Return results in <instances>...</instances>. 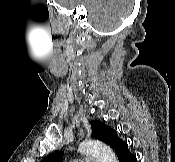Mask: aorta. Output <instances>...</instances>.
I'll list each match as a JSON object with an SVG mask.
<instances>
[{"mask_svg":"<svg viewBox=\"0 0 175 162\" xmlns=\"http://www.w3.org/2000/svg\"><path fill=\"white\" fill-rule=\"evenodd\" d=\"M79 151L82 154L95 157L99 162H118L114 151L98 140L84 141L80 145Z\"/></svg>","mask_w":175,"mask_h":162,"instance_id":"1","label":"aorta"}]
</instances>
